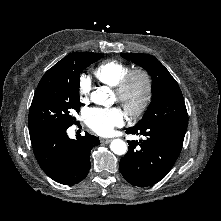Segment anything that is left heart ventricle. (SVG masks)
I'll return each instance as SVG.
<instances>
[{
  "label": "left heart ventricle",
  "mask_w": 221,
  "mask_h": 221,
  "mask_svg": "<svg viewBox=\"0 0 221 221\" xmlns=\"http://www.w3.org/2000/svg\"><path fill=\"white\" fill-rule=\"evenodd\" d=\"M143 93V85L140 81H136L133 85L132 91L130 93L129 100L132 104H136Z\"/></svg>",
  "instance_id": "b2bd125f"
}]
</instances>
